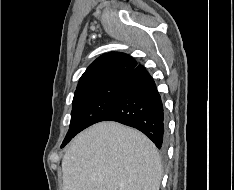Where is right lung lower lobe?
I'll use <instances>...</instances> for the list:
<instances>
[{"label":"right lung lower lobe","instance_id":"obj_1","mask_svg":"<svg viewBox=\"0 0 234 190\" xmlns=\"http://www.w3.org/2000/svg\"><path fill=\"white\" fill-rule=\"evenodd\" d=\"M100 121H116L143 132L159 149L165 147L166 121L153 78L142 65L125 78L113 105Z\"/></svg>","mask_w":234,"mask_h":190}]
</instances>
